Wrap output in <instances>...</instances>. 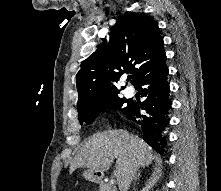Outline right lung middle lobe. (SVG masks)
<instances>
[{
  "instance_id": "right-lung-middle-lobe-1",
  "label": "right lung middle lobe",
  "mask_w": 221,
  "mask_h": 191,
  "mask_svg": "<svg viewBox=\"0 0 221 191\" xmlns=\"http://www.w3.org/2000/svg\"><path fill=\"white\" fill-rule=\"evenodd\" d=\"M130 106L131 105L129 101H127L124 98L115 96L100 102L99 104L82 113H78L79 122L81 125L83 123L91 124L98 116V114L106 108L118 109L121 110L124 114H126L129 111Z\"/></svg>"
}]
</instances>
